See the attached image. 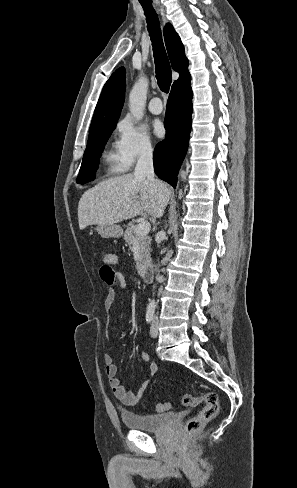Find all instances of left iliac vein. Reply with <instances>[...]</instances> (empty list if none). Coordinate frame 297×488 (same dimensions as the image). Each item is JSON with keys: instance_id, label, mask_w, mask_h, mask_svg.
I'll use <instances>...</instances> for the list:
<instances>
[{"instance_id": "left-iliac-vein-1", "label": "left iliac vein", "mask_w": 297, "mask_h": 488, "mask_svg": "<svg viewBox=\"0 0 297 488\" xmlns=\"http://www.w3.org/2000/svg\"><path fill=\"white\" fill-rule=\"evenodd\" d=\"M158 326H159L158 319L155 318L153 323H152L151 329H150V336L152 338H155L158 336Z\"/></svg>"}]
</instances>
